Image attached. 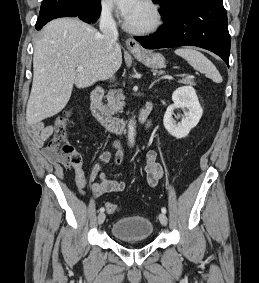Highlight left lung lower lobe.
<instances>
[{"instance_id": "1", "label": "left lung lower lobe", "mask_w": 259, "mask_h": 283, "mask_svg": "<svg viewBox=\"0 0 259 283\" xmlns=\"http://www.w3.org/2000/svg\"><path fill=\"white\" fill-rule=\"evenodd\" d=\"M165 19L158 32L135 37L146 49L197 46L219 55L229 67L230 35L223 0H195Z\"/></svg>"}]
</instances>
